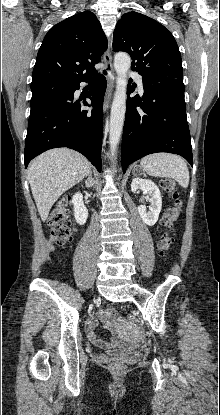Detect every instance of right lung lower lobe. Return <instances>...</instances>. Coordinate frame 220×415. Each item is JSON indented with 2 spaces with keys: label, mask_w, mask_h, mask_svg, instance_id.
<instances>
[{
  "label": "right lung lower lobe",
  "mask_w": 220,
  "mask_h": 415,
  "mask_svg": "<svg viewBox=\"0 0 220 415\" xmlns=\"http://www.w3.org/2000/svg\"><path fill=\"white\" fill-rule=\"evenodd\" d=\"M72 84L64 95L31 107L28 131L25 141L24 163L29 162L42 152L68 147L82 153L100 172L102 145V109L106 90V79L98 74L87 97L91 100L93 110H81V106H89L84 100L74 99L75 90L80 82Z\"/></svg>",
  "instance_id": "obj_1"
}]
</instances>
